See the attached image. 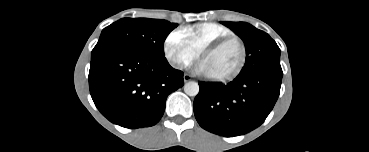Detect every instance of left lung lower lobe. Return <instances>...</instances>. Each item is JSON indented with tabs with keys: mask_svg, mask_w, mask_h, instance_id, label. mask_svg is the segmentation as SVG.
<instances>
[{
	"mask_svg": "<svg viewBox=\"0 0 369 152\" xmlns=\"http://www.w3.org/2000/svg\"><path fill=\"white\" fill-rule=\"evenodd\" d=\"M283 72L260 71L237 76L228 84L199 82L194 114L199 125L214 134L233 137L259 127L280 93Z\"/></svg>",
	"mask_w": 369,
	"mask_h": 152,
	"instance_id": "0a47b994",
	"label": "left lung lower lobe"
}]
</instances>
